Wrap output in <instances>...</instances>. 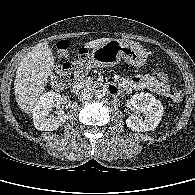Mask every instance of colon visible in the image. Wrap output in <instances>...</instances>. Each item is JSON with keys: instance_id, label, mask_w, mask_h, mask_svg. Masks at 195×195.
Returning a JSON list of instances; mask_svg holds the SVG:
<instances>
[{"instance_id": "1", "label": "colon", "mask_w": 195, "mask_h": 195, "mask_svg": "<svg viewBox=\"0 0 195 195\" xmlns=\"http://www.w3.org/2000/svg\"><path fill=\"white\" fill-rule=\"evenodd\" d=\"M66 42H59L57 48L60 51L67 49ZM89 67L88 52H82L78 59L73 63H65L56 66L51 73V81L57 88H64L74 85L87 71ZM152 76L160 81H167V74L156 65ZM174 102H181L183 100V92L181 90H173L170 94Z\"/></svg>"}]
</instances>
